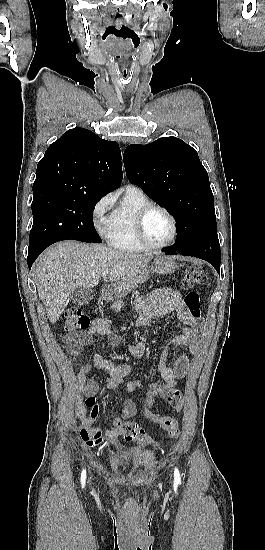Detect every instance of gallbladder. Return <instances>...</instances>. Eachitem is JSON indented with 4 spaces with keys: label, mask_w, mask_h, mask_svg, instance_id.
I'll return each instance as SVG.
<instances>
[{
    "label": "gallbladder",
    "mask_w": 265,
    "mask_h": 550,
    "mask_svg": "<svg viewBox=\"0 0 265 550\" xmlns=\"http://www.w3.org/2000/svg\"><path fill=\"white\" fill-rule=\"evenodd\" d=\"M93 298V292L91 289L78 288L70 293V301L75 305H86Z\"/></svg>",
    "instance_id": "gallbladder-1"
}]
</instances>
